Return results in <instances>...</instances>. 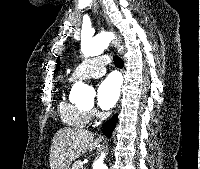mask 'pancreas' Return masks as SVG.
<instances>
[{"mask_svg":"<svg viewBox=\"0 0 200 169\" xmlns=\"http://www.w3.org/2000/svg\"><path fill=\"white\" fill-rule=\"evenodd\" d=\"M70 169H81L80 162L79 161L74 162Z\"/></svg>","mask_w":200,"mask_h":169,"instance_id":"pancreas-1","label":"pancreas"}]
</instances>
